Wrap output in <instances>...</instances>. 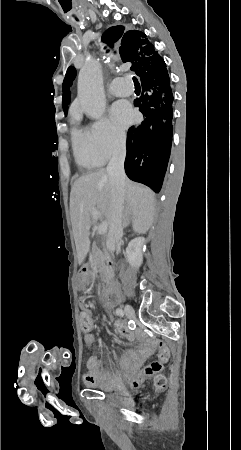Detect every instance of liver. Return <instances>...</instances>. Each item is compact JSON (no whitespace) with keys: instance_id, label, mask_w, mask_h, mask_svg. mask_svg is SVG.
<instances>
[{"instance_id":"obj_1","label":"liver","mask_w":241,"mask_h":450,"mask_svg":"<svg viewBox=\"0 0 241 450\" xmlns=\"http://www.w3.org/2000/svg\"><path fill=\"white\" fill-rule=\"evenodd\" d=\"M155 194L146 188L125 180V214L137 234H146L155 216ZM70 216L77 252L81 266L89 248V230L92 220L105 218L108 226L112 216V194L106 170L81 176L74 182L70 194Z\"/></svg>"}]
</instances>
